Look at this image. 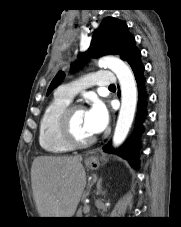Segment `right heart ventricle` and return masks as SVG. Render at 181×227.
Here are the masks:
<instances>
[{
	"label": "right heart ventricle",
	"mask_w": 181,
	"mask_h": 227,
	"mask_svg": "<svg viewBox=\"0 0 181 227\" xmlns=\"http://www.w3.org/2000/svg\"><path fill=\"white\" fill-rule=\"evenodd\" d=\"M70 102L71 100L55 94L41 115L39 144L48 153L60 154L72 149V146L62 139L58 128L59 117Z\"/></svg>",
	"instance_id": "1"
}]
</instances>
